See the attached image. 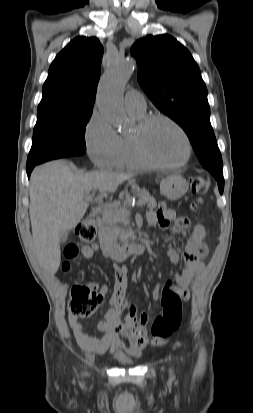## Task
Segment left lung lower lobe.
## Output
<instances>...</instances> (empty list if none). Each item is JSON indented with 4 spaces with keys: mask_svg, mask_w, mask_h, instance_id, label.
Returning <instances> with one entry per match:
<instances>
[{
    "mask_svg": "<svg viewBox=\"0 0 253 413\" xmlns=\"http://www.w3.org/2000/svg\"><path fill=\"white\" fill-rule=\"evenodd\" d=\"M214 178L217 180L218 182V188L220 193L223 192L224 190V178H223V172H215V171H209Z\"/></svg>",
    "mask_w": 253,
    "mask_h": 413,
    "instance_id": "1",
    "label": "left lung lower lobe"
}]
</instances>
